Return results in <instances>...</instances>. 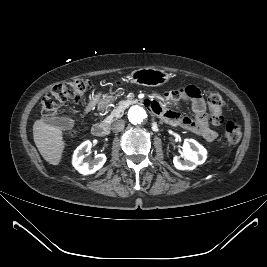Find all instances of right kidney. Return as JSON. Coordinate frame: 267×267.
Instances as JSON below:
<instances>
[{
  "label": "right kidney",
  "mask_w": 267,
  "mask_h": 267,
  "mask_svg": "<svg viewBox=\"0 0 267 267\" xmlns=\"http://www.w3.org/2000/svg\"><path fill=\"white\" fill-rule=\"evenodd\" d=\"M92 143L87 140L83 142L77 149L74 151L72 164L74 168L83 175L93 174L97 170L101 169L104 163L106 162L105 154L95 155L92 161H84L85 152L90 151Z\"/></svg>",
  "instance_id": "obj_1"
}]
</instances>
